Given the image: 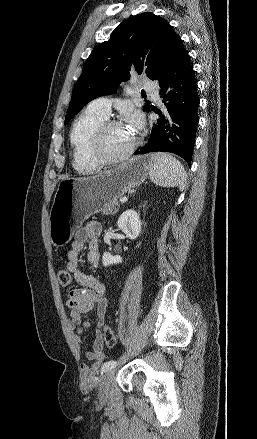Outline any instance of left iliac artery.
I'll use <instances>...</instances> for the list:
<instances>
[{
	"mask_svg": "<svg viewBox=\"0 0 257 439\" xmlns=\"http://www.w3.org/2000/svg\"><path fill=\"white\" fill-rule=\"evenodd\" d=\"M116 365H117V362L114 361V360L107 361V362H105L103 364L101 371H102V373L106 372V371L111 370L112 368H114Z\"/></svg>",
	"mask_w": 257,
	"mask_h": 439,
	"instance_id": "left-iliac-artery-1",
	"label": "left iliac artery"
}]
</instances>
